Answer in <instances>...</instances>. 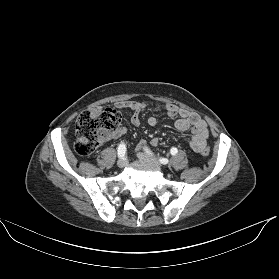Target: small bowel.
<instances>
[{
    "label": "small bowel",
    "mask_w": 279,
    "mask_h": 279,
    "mask_svg": "<svg viewBox=\"0 0 279 279\" xmlns=\"http://www.w3.org/2000/svg\"><path fill=\"white\" fill-rule=\"evenodd\" d=\"M116 107L120 109H129L132 111L131 122L135 126H139L141 123L140 113L148 109L152 104L148 101H135V100H123L116 102ZM167 115L171 118H176L175 127L180 131L191 130V137L188 139L189 147L195 151L200 152L207 145V138L209 131L206 122L197 114L189 112L185 109L178 108L173 104H168L163 107ZM149 126L154 127L157 124V119L153 116L147 119ZM126 133L125 128H120L111 137L122 136ZM151 144L156 146L158 144V138H153ZM145 142H141L142 148Z\"/></svg>",
    "instance_id": "1"
}]
</instances>
